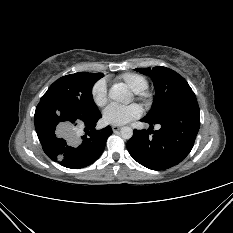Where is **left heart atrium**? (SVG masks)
Returning a JSON list of instances; mask_svg holds the SVG:
<instances>
[{"label":"left heart atrium","instance_id":"left-heart-atrium-1","mask_svg":"<svg viewBox=\"0 0 233 233\" xmlns=\"http://www.w3.org/2000/svg\"><path fill=\"white\" fill-rule=\"evenodd\" d=\"M142 114V109L136 104L118 105L110 104L103 111V120L111 125H125L138 118Z\"/></svg>","mask_w":233,"mask_h":233}]
</instances>
